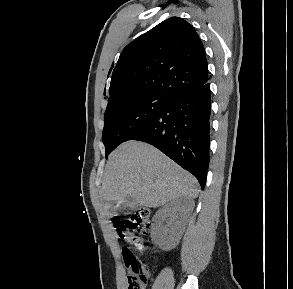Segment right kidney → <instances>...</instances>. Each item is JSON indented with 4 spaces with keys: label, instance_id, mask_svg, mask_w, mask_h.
I'll return each instance as SVG.
<instances>
[{
    "label": "right kidney",
    "instance_id": "1",
    "mask_svg": "<svg viewBox=\"0 0 293 289\" xmlns=\"http://www.w3.org/2000/svg\"><path fill=\"white\" fill-rule=\"evenodd\" d=\"M153 221L161 244L167 249L173 248L181 239L186 227V204L183 199L176 198L160 208Z\"/></svg>",
    "mask_w": 293,
    "mask_h": 289
}]
</instances>
